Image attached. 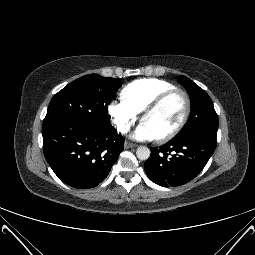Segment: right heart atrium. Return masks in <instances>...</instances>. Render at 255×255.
<instances>
[{
    "mask_svg": "<svg viewBox=\"0 0 255 255\" xmlns=\"http://www.w3.org/2000/svg\"><path fill=\"white\" fill-rule=\"evenodd\" d=\"M107 110L111 122L121 134L127 133L138 119V114L123 100H112Z\"/></svg>",
    "mask_w": 255,
    "mask_h": 255,
    "instance_id": "d8ad5b80",
    "label": "right heart atrium"
}]
</instances>
